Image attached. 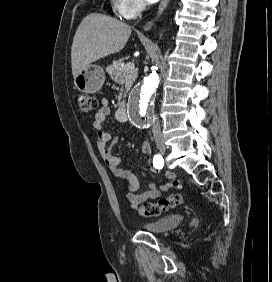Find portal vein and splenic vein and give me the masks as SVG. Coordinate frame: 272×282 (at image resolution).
Returning <instances> with one entry per match:
<instances>
[{
	"label": "portal vein and splenic vein",
	"instance_id": "18ae733b",
	"mask_svg": "<svg viewBox=\"0 0 272 282\" xmlns=\"http://www.w3.org/2000/svg\"><path fill=\"white\" fill-rule=\"evenodd\" d=\"M134 69H135L134 63H127V64L125 65V67H124V70H125V71H132V70H134Z\"/></svg>",
	"mask_w": 272,
	"mask_h": 282
}]
</instances>
